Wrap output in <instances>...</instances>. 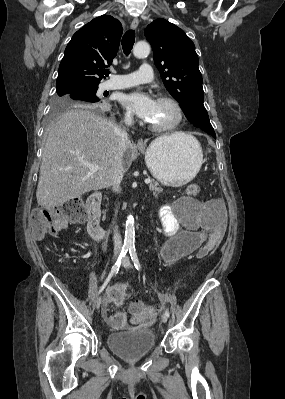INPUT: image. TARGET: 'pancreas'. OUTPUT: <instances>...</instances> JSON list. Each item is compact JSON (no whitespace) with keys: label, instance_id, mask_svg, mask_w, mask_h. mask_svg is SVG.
<instances>
[{"label":"pancreas","instance_id":"cf45deb5","mask_svg":"<svg viewBox=\"0 0 285 399\" xmlns=\"http://www.w3.org/2000/svg\"><path fill=\"white\" fill-rule=\"evenodd\" d=\"M149 190L152 191L155 197H158L159 194L163 191L162 187L157 182H152L149 185Z\"/></svg>","mask_w":285,"mask_h":399}]
</instances>
